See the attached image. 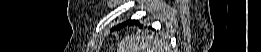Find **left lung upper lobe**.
Instances as JSON below:
<instances>
[{
	"mask_svg": "<svg viewBox=\"0 0 261 52\" xmlns=\"http://www.w3.org/2000/svg\"><path fill=\"white\" fill-rule=\"evenodd\" d=\"M135 21H136V20H129V21H127V22H124V23H122V24H119L118 27H119V26H124V25L130 24V23H134Z\"/></svg>",
	"mask_w": 261,
	"mask_h": 52,
	"instance_id": "left-lung-upper-lobe-1",
	"label": "left lung upper lobe"
}]
</instances>
